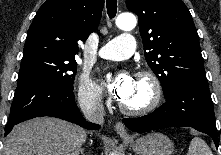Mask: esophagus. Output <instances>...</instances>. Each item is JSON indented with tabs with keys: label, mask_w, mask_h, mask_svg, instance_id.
Segmentation results:
<instances>
[{
	"label": "esophagus",
	"mask_w": 221,
	"mask_h": 155,
	"mask_svg": "<svg viewBox=\"0 0 221 155\" xmlns=\"http://www.w3.org/2000/svg\"><path fill=\"white\" fill-rule=\"evenodd\" d=\"M115 130L120 137H123V138L129 137V133H128L125 125L121 121H118L116 123Z\"/></svg>",
	"instance_id": "1"
}]
</instances>
